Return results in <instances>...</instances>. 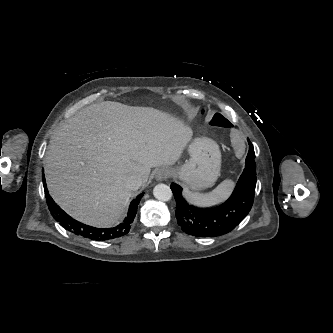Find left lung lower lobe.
Returning <instances> with one entry per match:
<instances>
[{
	"mask_svg": "<svg viewBox=\"0 0 333 333\" xmlns=\"http://www.w3.org/2000/svg\"><path fill=\"white\" fill-rule=\"evenodd\" d=\"M246 165L229 199L222 205L211 209H198L189 205L181 195L182 188L171 184L176 200L178 225L187 234L197 237H213L232 231L252 208L256 187L255 152L249 141Z\"/></svg>",
	"mask_w": 333,
	"mask_h": 333,
	"instance_id": "1",
	"label": "left lung lower lobe"
}]
</instances>
